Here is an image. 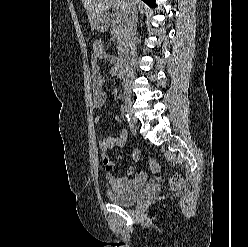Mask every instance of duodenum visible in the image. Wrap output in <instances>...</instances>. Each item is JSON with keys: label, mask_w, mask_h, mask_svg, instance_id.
Here are the masks:
<instances>
[{"label": "duodenum", "mask_w": 248, "mask_h": 247, "mask_svg": "<svg viewBox=\"0 0 248 247\" xmlns=\"http://www.w3.org/2000/svg\"><path fill=\"white\" fill-rule=\"evenodd\" d=\"M128 66H129V57L124 54L121 55L117 64L118 70H120L122 73H126L128 70Z\"/></svg>", "instance_id": "1"}]
</instances>
